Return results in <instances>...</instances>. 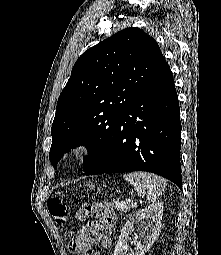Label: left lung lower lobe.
<instances>
[{
	"mask_svg": "<svg viewBox=\"0 0 221 255\" xmlns=\"http://www.w3.org/2000/svg\"><path fill=\"white\" fill-rule=\"evenodd\" d=\"M179 103L168 63L116 121L100 156L84 175L147 171L182 188Z\"/></svg>",
	"mask_w": 221,
	"mask_h": 255,
	"instance_id": "obj_1",
	"label": "left lung lower lobe"
}]
</instances>
